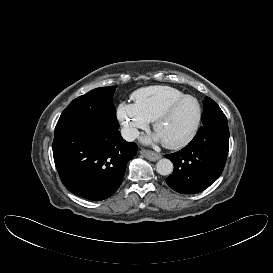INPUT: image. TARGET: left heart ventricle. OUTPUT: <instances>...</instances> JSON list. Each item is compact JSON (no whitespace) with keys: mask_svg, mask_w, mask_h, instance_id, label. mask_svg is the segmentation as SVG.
I'll return each mask as SVG.
<instances>
[{"mask_svg":"<svg viewBox=\"0 0 273 273\" xmlns=\"http://www.w3.org/2000/svg\"><path fill=\"white\" fill-rule=\"evenodd\" d=\"M196 118V103L193 100H185L177 105L171 114L159 124L156 134L163 142H179L190 133Z\"/></svg>","mask_w":273,"mask_h":273,"instance_id":"1","label":"left heart ventricle"}]
</instances>
